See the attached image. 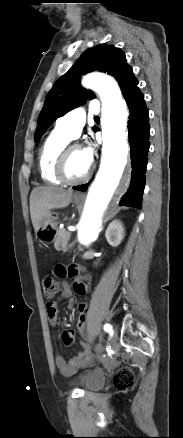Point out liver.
<instances>
[{
	"instance_id": "6515ba94",
	"label": "liver",
	"mask_w": 183,
	"mask_h": 438,
	"mask_svg": "<svg viewBox=\"0 0 183 438\" xmlns=\"http://www.w3.org/2000/svg\"><path fill=\"white\" fill-rule=\"evenodd\" d=\"M73 190L58 187H37L30 195V215L34 229L52 209L67 207L72 199Z\"/></svg>"
}]
</instances>
